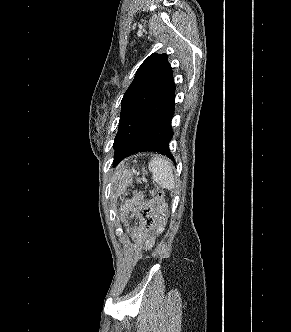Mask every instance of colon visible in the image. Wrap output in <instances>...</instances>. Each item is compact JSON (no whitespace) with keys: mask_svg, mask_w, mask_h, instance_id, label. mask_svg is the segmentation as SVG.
Returning <instances> with one entry per match:
<instances>
[{"mask_svg":"<svg viewBox=\"0 0 291 332\" xmlns=\"http://www.w3.org/2000/svg\"><path fill=\"white\" fill-rule=\"evenodd\" d=\"M139 218L143 228L149 229L157 222L164 226L166 220V204L163 193L159 191L153 201H145L139 209Z\"/></svg>","mask_w":291,"mask_h":332,"instance_id":"1","label":"colon"}]
</instances>
